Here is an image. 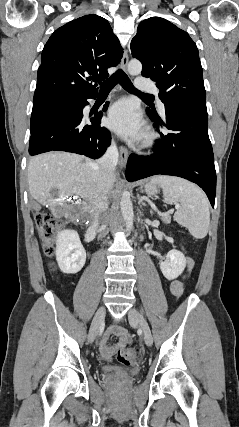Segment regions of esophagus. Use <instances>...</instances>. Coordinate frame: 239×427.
I'll use <instances>...</instances> for the list:
<instances>
[{
    "label": "esophagus",
    "instance_id": "34e87169",
    "mask_svg": "<svg viewBox=\"0 0 239 427\" xmlns=\"http://www.w3.org/2000/svg\"><path fill=\"white\" fill-rule=\"evenodd\" d=\"M128 61H129L128 51L125 50L121 60V68L124 71L127 70ZM119 155H120L121 166L124 168L128 159V150L126 149V147L124 146L119 147Z\"/></svg>",
    "mask_w": 239,
    "mask_h": 427
}]
</instances>
